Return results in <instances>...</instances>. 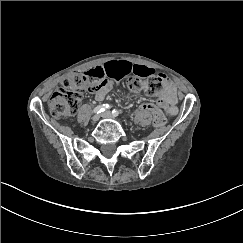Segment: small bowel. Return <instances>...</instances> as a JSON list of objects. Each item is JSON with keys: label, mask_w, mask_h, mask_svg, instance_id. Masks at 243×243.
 <instances>
[{"label": "small bowel", "mask_w": 243, "mask_h": 243, "mask_svg": "<svg viewBox=\"0 0 243 243\" xmlns=\"http://www.w3.org/2000/svg\"><path fill=\"white\" fill-rule=\"evenodd\" d=\"M87 74L100 77V83L95 90V98L102 101L107 94L113 89L111 82L105 80L106 77L112 80H119L130 74H135L140 77L154 76L155 71L143 65H136L128 61H113L108 62L102 66H96L90 69ZM165 83V90L158 98L159 106L165 110L169 116H175L178 113L176 106L178 98L172 82L161 75Z\"/></svg>", "instance_id": "obj_1"}]
</instances>
